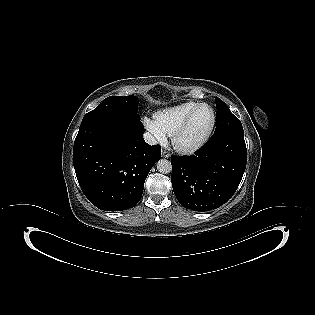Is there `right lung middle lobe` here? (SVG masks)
Returning <instances> with one entry per match:
<instances>
[{
  "label": "right lung middle lobe",
  "mask_w": 315,
  "mask_h": 315,
  "mask_svg": "<svg viewBox=\"0 0 315 315\" xmlns=\"http://www.w3.org/2000/svg\"><path fill=\"white\" fill-rule=\"evenodd\" d=\"M97 108H113L123 113L137 115L138 98L136 96H110L104 99Z\"/></svg>",
  "instance_id": "1"
}]
</instances>
